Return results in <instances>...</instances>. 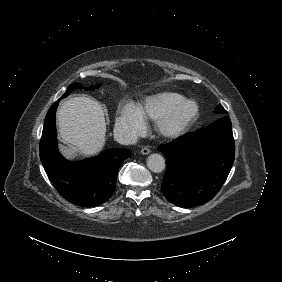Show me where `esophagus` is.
Returning a JSON list of instances; mask_svg holds the SVG:
<instances>
[{
    "instance_id": "1",
    "label": "esophagus",
    "mask_w": 282,
    "mask_h": 282,
    "mask_svg": "<svg viewBox=\"0 0 282 282\" xmlns=\"http://www.w3.org/2000/svg\"><path fill=\"white\" fill-rule=\"evenodd\" d=\"M150 149L149 148H143L142 150H141V154H143V155H148V154H150Z\"/></svg>"
}]
</instances>
